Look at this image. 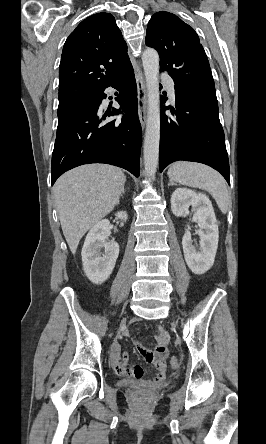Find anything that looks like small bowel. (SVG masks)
Returning a JSON list of instances; mask_svg holds the SVG:
<instances>
[{
    "instance_id": "obj_1",
    "label": "small bowel",
    "mask_w": 266,
    "mask_h": 444,
    "mask_svg": "<svg viewBox=\"0 0 266 444\" xmlns=\"http://www.w3.org/2000/svg\"><path fill=\"white\" fill-rule=\"evenodd\" d=\"M155 342L156 345L153 350L145 348L139 342L135 343L136 349L144 357V359L155 366L157 373L154 378H152L151 380H144L143 369L137 365H130L129 355L127 353H124L122 355L121 360H117L116 356L119 352V343L117 341L113 343L114 367L116 369V372L122 376H126L131 380L140 382L148 386L162 384L166 379V358L168 352L167 332L163 329H159L155 335Z\"/></svg>"
}]
</instances>
